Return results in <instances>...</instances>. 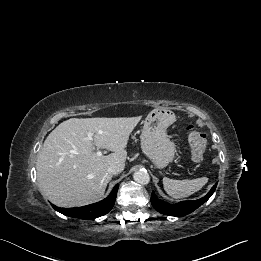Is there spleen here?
<instances>
[{
  "instance_id": "3e777b00",
  "label": "spleen",
  "mask_w": 261,
  "mask_h": 261,
  "mask_svg": "<svg viewBox=\"0 0 261 261\" xmlns=\"http://www.w3.org/2000/svg\"><path fill=\"white\" fill-rule=\"evenodd\" d=\"M208 182L207 177L192 180H175L163 178V186L168 195L175 199L188 197L199 191Z\"/></svg>"
}]
</instances>
